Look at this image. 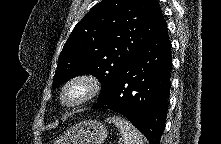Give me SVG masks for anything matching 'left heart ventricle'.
I'll return each mask as SVG.
<instances>
[{
  "label": "left heart ventricle",
  "instance_id": "b2bd125f",
  "mask_svg": "<svg viewBox=\"0 0 221 144\" xmlns=\"http://www.w3.org/2000/svg\"><path fill=\"white\" fill-rule=\"evenodd\" d=\"M81 90H82V89H81L80 87H76V88L71 89V90L68 92L67 98H68L69 100H73V99L77 98V97L80 95Z\"/></svg>",
  "mask_w": 221,
  "mask_h": 144
}]
</instances>
